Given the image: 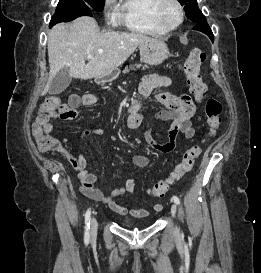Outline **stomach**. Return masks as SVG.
I'll list each match as a JSON object with an SVG mask.
<instances>
[{
  "instance_id": "obj_1",
  "label": "stomach",
  "mask_w": 261,
  "mask_h": 273,
  "mask_svg": "<svg viewBox=\"0 0 261 273\" xmlns=\"http://www.w3.org/2000/svg\"><path fill=\"white\" fill-rule=\"evenodd\" d=\"M140 55L143 61L149 65L161 64L169 55L166 43L160 39H150L139 45ZM119 75V69L113 70L103 78H96L98 83L110 82Z\"/></svg>"
}]
</instances>
